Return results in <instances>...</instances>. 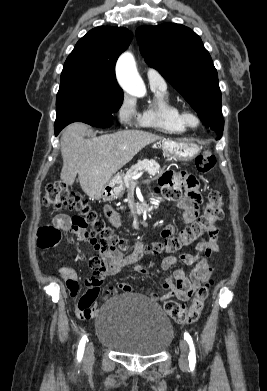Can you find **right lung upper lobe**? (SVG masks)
I'll list each match as a JSON object with an SVG mask.
<instances>
[{"label":"right lung upper lobe","mask_w":267,"mask_h":391,"mask_svg":"<svg viewBox=\"0 0 267 391\" xmlns=\"http://www.w3.org/2000/svg\"><path fill=\"white\" fill-rule=\"evenodd\" d=\"M132 40L123 27H96L82 37L65 61L61 79L91 76L118 86L115 64Z\"/></svg>","instance_id":"cb5924a9"}]
</instances>
